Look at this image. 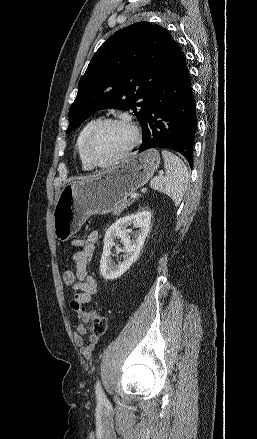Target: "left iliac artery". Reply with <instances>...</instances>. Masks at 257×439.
Listing matches in <instances>:
<instances>
[{"label":"left iliac artery","instance_id":"44dca946","mask_svg":"<svg viewBox=\"0 0 257 439\" xmlns=\"http://www.w3.org/2000/svg\"><path fill=\"white\" fill-rule=\"evenodd\" d=\"M95 393H96V398L98 401L103 402L106 400V397L104 395V392L102 390V387H101V384L99 381L96 382Z\"/></svg>","mask_w":257,"mask_h":439}]
</instances>
